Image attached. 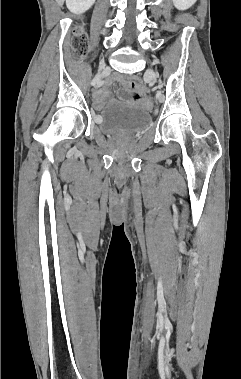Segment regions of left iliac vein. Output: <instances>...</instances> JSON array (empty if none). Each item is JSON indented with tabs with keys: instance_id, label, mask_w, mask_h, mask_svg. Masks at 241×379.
Listing matches in <instances>:
<instances>
[{
	"instance_id": "4c4485c4",
	"label": "left iliac vein",
	"mask_w": 241,
	"mask_h": 379,
	"mask_svg": "<svg viewBox=\"0 0 241 379\" xmlns=\"http://www.w3.org/2000/svg\"><path fill=\"white\" fill-rule=\"evenodd\" d=\"M147 75L150 77L151 80L155 81L157 78L156 73L152 69L147 70Z\"/></svg>"
}]
</instances>
